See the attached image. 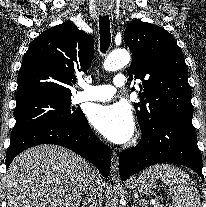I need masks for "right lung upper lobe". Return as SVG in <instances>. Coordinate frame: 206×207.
<instances>
[{
  "label": "right lung upper lobe",
  "instance_id": "right-lung-upper-lobe-1",
  "mask_svg": "<svg viewBox=\"0 0 206 207\" xmlns=\"http://www.w3.org/2000/svg\"><path fill=\"white\" fill-rule=\"evenodd\" d=\"M93 55V38L71 22L44 31L23 57L16 100L36 94L72 95L75 74L87 71Z\"/></svg>",
  "mask_w": 206,
  "mask_h": 207
}]
</instances>
